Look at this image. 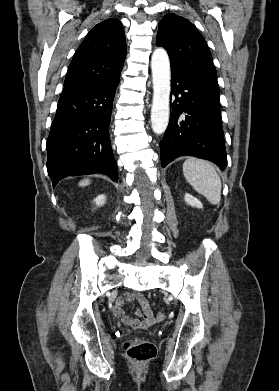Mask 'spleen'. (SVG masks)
I'll return each mask as SVG.
<instances>
[{"instance_id": "spleen-1", "label": "spleen", "mask_w": 279, "mask_h": 391, "mask_svg": "<svg viewBox=\"0 0 279 391\" xmlns=\"http://www.w3.org/2000/svg\"><path fill=\"white\" fill-rule=\"evenodd\" d=\"M183 174L187 182L213 205L221 200V179L215 168L207 161L188 158L183 164Z\"/></svg>"}]
</instances>
